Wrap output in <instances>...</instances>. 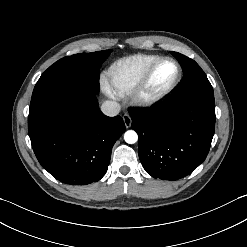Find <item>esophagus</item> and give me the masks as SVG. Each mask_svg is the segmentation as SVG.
Masks as SVG:
<instances>
[{"mask_svg": "<svg viewBox=\"0 0 247 247\" xmlns=\"http://www.w3.org/2000/svg\"><path fill=\"white\" fill-rule=\"evenodd\" d=\"M123 121H124V124H125L126 128H129L131 126L132 119H131L129 114H125L123 116Z\"/></svg>", "mask_w": 247, "mask_h": 247, "instance_id": "1", "label": "esophagus"}]
</instances>
